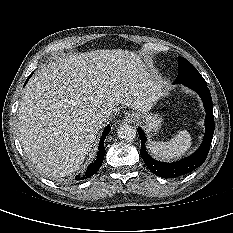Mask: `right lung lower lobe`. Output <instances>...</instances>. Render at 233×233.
<instances>
[{
    "label": "right lung lower lobe",
    "instance_id": "98d812e1",
    "mask_svg": "<svg viewBox=\"0 0 233 233\" xmlns=\"http://www.w3.org/2000/svg\"><path fill=\"white\" fill-rule=\"evenodd\" d=\"M30 76H29V78H30ZM28 79L26 80L25 84L27 83ZM110 131H111V128H110V125H108L102 134V137L100 140V145H99V151H98V155H97L96 160L88 166V169L84 175H82V176L77 175L75 180L78 181V180H83V179L89 178L92 175H94L97 172V170L100 168V166L103 162V159H104V155H105L104 140Z\"/></svg>",
    "mask_w": 233,
    "mask_h": 233
}]
</instances>
